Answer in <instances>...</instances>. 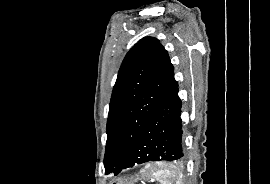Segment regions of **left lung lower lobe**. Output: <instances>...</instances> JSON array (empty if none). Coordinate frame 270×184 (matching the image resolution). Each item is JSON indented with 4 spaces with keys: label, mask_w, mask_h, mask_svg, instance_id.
<instances>
[{
    "label": "left lung lower lobe",
    "mask_w": 270,
    "mask_h": 184,
    "mask_svg": "<svg viewBox=\"0 0 270 184\" xmlns=\"http://www.w3.org/2000/svg\"><path fill=\"white\" fill-rule=\"evenodd\" d=\"M182 103L178 96V83L164 95L155 112L138 135L121 168L151 161H182L184 159Z\"/></svg>",
    "instance_id": "obj_1"
}]
</instances>
